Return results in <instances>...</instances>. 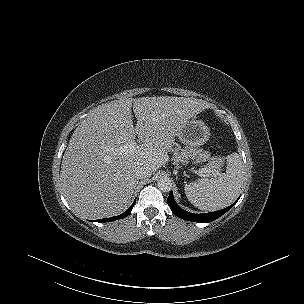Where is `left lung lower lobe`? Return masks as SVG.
Instances as JSON below:
<instances>
[{"instance_id":"left-lung-lower-lobe-1","label":"left lung lower lobe","mask_w":304,"mask_h":304,"mask_svg":"<svg viewBox=\"0 0 304 304\" xmlns=\"http://www.w3.org/2000/svg\"><path fill=\"white\" fill-rule=\"evenodd\" d=\"M239 200V198L229 207H226L222 210H218L215 212H210V213H205V214H193L189 213L182 208H180L174 198H173V193L172 191L169 194V197L167 199L168 205L172 212L178 216L179 218L188 220V221H193V222H200V223H206V222H212L222 216L224 213H226L228 210H230Z\"/></svg>"}]
</instances>
